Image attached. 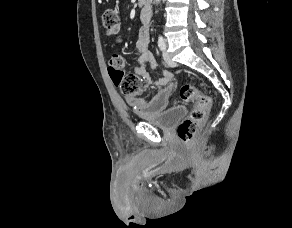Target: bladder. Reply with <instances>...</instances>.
I'll use <instances>...</instances> for the list:
<instances>
[{
	"label": "bladder",
	"mask_w": 292,
	"mask_h": 228,
	"mask_svg": "<svg viewBox=\"0 0 292 228\" xmlns=\"http://www.w3.org/2000/svg\"><path fill=\"white\" fill-rule=\"evenodd\" d=\"M187 113L184 106L172 107L155 116H144L142 120L146 123L158 126L163 129H169Z\"/></svg>",
	"instance_id": "31cf9c89"
}]
</instances>
